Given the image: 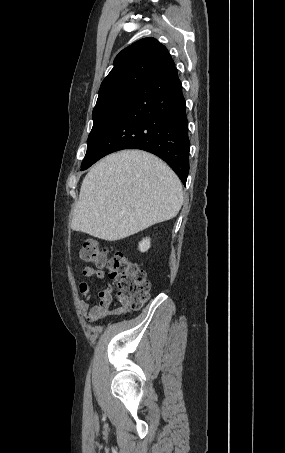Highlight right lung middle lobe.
<instances>
[{"label":"right lung middle lobe","instance_id":"dd1d6c3e","mask_svg":"<svg viewBox=\"0 0 285 453\" xmlns=\"http://www.w3.org/2000/svg\"><path fill=\"white\" fill-rule=\"evenodd\" d=\"M134 94L135 92L125 93L94 107L92 113L94 124L88 136L87 152L81 164V170L91 165L99 147Z\"/></svg>","mask_w":285,"mask_h":453}]
</instances>
